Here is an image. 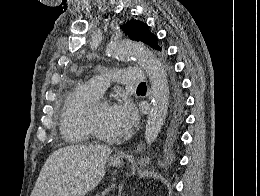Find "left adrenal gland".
Here are the masks:
<instances>
[{
  "instance_id": "obj_1",
  "label": "left adrenal gland",
  "mask_w": 260,
  "mask_h": 196,
  "mask_svg": "<svg viewBox=\"0 0 260 196\" xmlns=\"http://www.w3.org/2000/svg\"><path fill=\"white\" fill-rule=\"evenodd\" d=\"M119 196H121V190H120V194H119Z\"/></svg>"
}]
</instances>
